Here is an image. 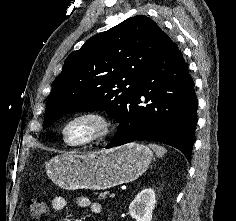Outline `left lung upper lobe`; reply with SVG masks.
<instances>
[{
    "instance_id": "left-lung-upper-lobe-1",
    "label": "left lung upper lobe",
    "mask_w": 236,
    "mask_h": 221,
    "mask_svg": "<svg viewBox=\"0 0 236 221\" xmlns=\"http://www.w3.org/2000/svg\"><path fill=\"white\" fill-rule=\"evenodd\" d=\"M166 36L151 18L138 15L88 39L66 58L56 77L43 128L76 111L106 110L119 122L138 78Z\"/></svg>"
}]
</instances>
